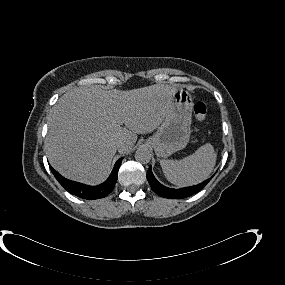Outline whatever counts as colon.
I'll use <instances>...</instances> for the list:
<instances>
[{"instance_id": "1", "label": "colon", "mask_w": 285, "mask_h": 285, "mask_svg": "<svg viewBox=\"0 0 285 285\" xmlns=\"http://www.w3.org/2000/svg\"><path fill=\"white\" fill-rule=\"evenodd\" d=\"M193 114H194V118L198 122H201V123L204 122L206 119V115H207L205 104L202 102L195 104L194 109H193Z\"/></svg>"}]
</instances>
